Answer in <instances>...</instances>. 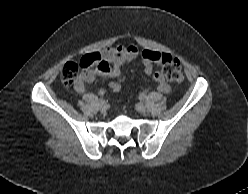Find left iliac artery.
<instances>
[{
	"label": "left iliac artery",
	"instance_id": "left-iliac-artery-1",
	"mask_svg": "<svg viewBox=\"0 0 248 194\" xmlns=\"http://www.w3.org/2000/svg\"><path fill=\"white\" fill-rule=\"evenodd\" d=\"M139 98H140L141 100H144V99L146 98V94H145V93H141V94L139 95Z\"/></svg>",
	"mask_w": 248,
	"mask_h": 194
}]
</instances>
